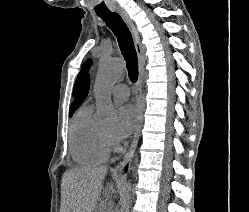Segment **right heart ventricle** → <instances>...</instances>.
<instances>
[{"mask_svg":"<svg viewBox=\"0 0 249 212\" xmlns=\"http://www.w3.org/2000/svg\"><path fill=\"white\" fill-rule=\"evenodd\" d=\"M69 150L73 160L81 165L100 164L107 158L101 128L92 118L90 105H82L71 120Z\"/></svg>","mask_w":249,"mask_h":212,"instance_id":"e07e8e85","label":"right heart ventricle"}]
</instances>
